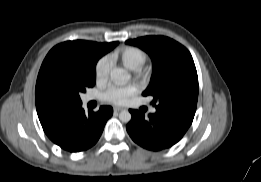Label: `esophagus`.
<instances>
[{
  "label": "esophagus",
  "instance_id": "34e87169",
  "mask_svg": "<svg viewBox=\"0 0 261 182\" xmlns=\"http://www.w3.org/2000/svg\"><path fill=\"white\" fill-rule=\"evenodd\" d=\"M113 110H114V112H120V111L124 110V108H122V107H114Z\"/></svg>",
  "mask_w": 261,
  "mask_h": 182
}]
</instances>
